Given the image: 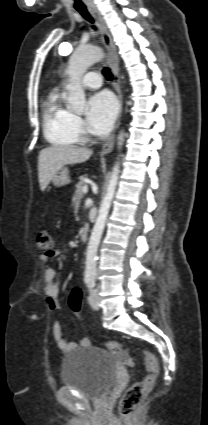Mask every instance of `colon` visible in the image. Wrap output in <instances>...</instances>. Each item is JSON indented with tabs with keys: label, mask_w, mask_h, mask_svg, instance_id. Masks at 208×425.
<instances>
[{
	"label": "colon",
	"mask_w": 208,
	"mask_h": 425,
	"mask_svg": "<svg viewBox=\"0 0 208 425\" xmlns=\"http://www.w3.org/2000/svg\"><path fill=\"white\" fill-rule=\"evenodd\" d=\"M36 247L42 254L51 255L54 252V241L50 232L41 231L38 234ZM82 296L80 288L75 287L71 290L68 304L73 312L82 311ZM105 347L114 354H119L123 350V344L115 341L106 342ZM138 354L144 361L146 375L142 380L131 385L121 397L119 413L125 418H129L135 412L145 396L153 389L159 371L158 360L153 353L138 349Z\"/></svg>",
	"instance_id": "colon-1"
}]
</instances>
